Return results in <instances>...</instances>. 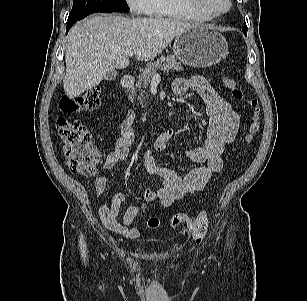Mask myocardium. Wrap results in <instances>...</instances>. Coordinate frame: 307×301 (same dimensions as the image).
<instances>
[{"instance_id": "1", "label": "myocardium", "mask_w": 307, "mask_h": 301, "mask_svg": "<svg viewBox=\"0 0 307 301\" xmlns=\"http://www.w3.org/2000/svg\"><path fill=\"white\" fill-rule=\"evenodd\" d=\"M185 5L193 12L209 18H218L227 14L232 8V0H226V7L223 10H216L208 6L204 0H183Z\"/></svg>"}]
</instances>
